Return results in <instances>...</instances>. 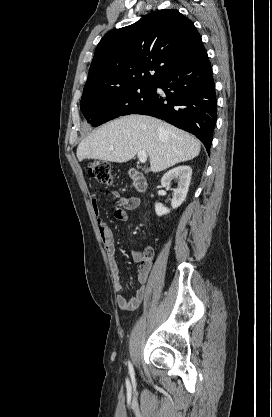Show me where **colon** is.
Segmentation results:
<instances>
[{"mask_svg": "<svg viewBox=\"0 0 272 417\" xmlns=\"http://www.w3.org/2000/svg\"><path fill=\"white\" fill-rule=\"evenodd\" d=\"M88 173L101 184H110L112 182V168L109 163L102 160L91 161L88 164Z\"/></svg>", "mask_w": 272, "mask_h": 417, "instance_id": "5ec220e1", "label": "colon"}]
</instances>
